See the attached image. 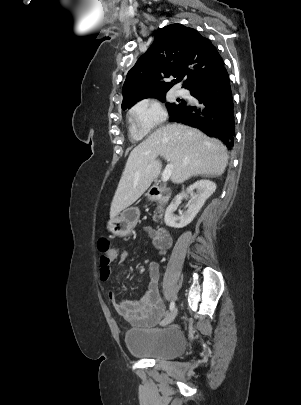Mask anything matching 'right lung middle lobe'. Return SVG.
I'll use <instances>...</instances> for the list:
<instances>
[{
    "instance_id": "dd1d6c3e",
    "label": "right lung middle lobe",
    "mask_w": 301,
    "mask_h": 405,
    "mask_svg": "<svg viewBox=\"0 0 301 405\" xmlns=\"http://www.w3.org/2000/svg\"><path fill=\"white\" fill-rule=\"evenodd\" d=\"M165 93L166 92H163V93L156 94V95H153V96H150V97H154V98H157V99L161 100L162 102H165ZM177 101L179 102L177 104H175V103H173V104L167 103V107L169 109V114H171L172 112H174L178 108L186 105L185 101L182 100V99L181 100L178 99Z\"/></svg>"
}]
</instances>
